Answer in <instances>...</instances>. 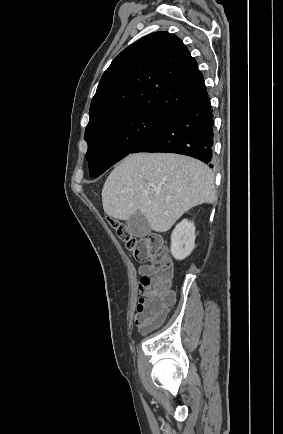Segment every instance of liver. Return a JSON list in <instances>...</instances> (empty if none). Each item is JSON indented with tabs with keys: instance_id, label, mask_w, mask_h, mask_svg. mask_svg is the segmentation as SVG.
Masks as SVG:
<instances>
[{
	"instance_id": "6515ba94",
	"label": "liver",
	"mask_w": 283,
	"mask_h": 434,
	"mask_svg": "<svg viewBox=\"0 0 283 434\" xmlns=\"http://www.w3.org/2000/svg\"><path fill=\"white\" fill-rule=\"evenodd\" d=\"M215 199L212 171L197 159L173 153L128 155L102 189L108 216L128 220L140 212L156 232H166L189 209Z\"/></svg>"
}]
</instances>
